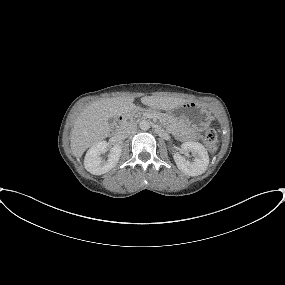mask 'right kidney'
Listing matches in <instances>:
<instances>
[{
    "label": "right kidney",
    "mask_w": 285,
    "mask_h": 285,
    "mask_svg": "<svg viewBox=\"0 0 285 285\" xmlns=\"http://www.w3.org/2000/svg\"><path fill=\"white\" fill-rule=\"evenodd\" d=\"M107 149L106 141H99L94 144L86 153L84 166L85 169L94 175H101L116 166L121 156V146L114 145L108 155V159H102L101 154H104Z\"/></svg>",
    "instance_id": "obj_1"
}]
</instances>
